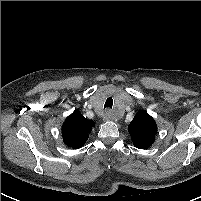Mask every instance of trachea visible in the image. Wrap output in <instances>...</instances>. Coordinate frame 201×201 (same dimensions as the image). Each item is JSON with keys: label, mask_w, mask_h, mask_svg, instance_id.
Segmentation results:
<instances>
[{"label": "trachea", "mask_w": 201, "mask_h": 201, "mask_svg": "<svg viewBox=\"0 0 201 201\" xmlns=\"http://www.w3.org/2000/svg\"><path fill=\"white\" fill-rule=\"evenodd\" d=\"M112 106H113V99L112 97H108L105 101L104 109L112 108Z\"/></svg>", "instance_id": "trachea-1"}]
</instances>
